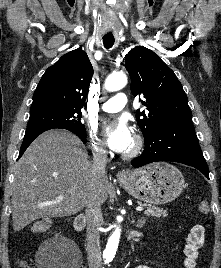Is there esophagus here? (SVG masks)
Returning a JSON list of instances; mask_svg holds the SVG:
<instances>
[{
  "label": "esophagus",
  "instance_id": "34e87169",
  "mask_svg": "<svg viewBox=\"0 0 221 268\" xmlns=\"http://www.w3.org/2000/svg\"><path fill=\"white\" fill-rule=\"evenodd\" d=\"M116 176L118 179H123L127 176V173L124 170H120L117 172Z\"/></svg>",
  "mask_w": 221,
  "mask_h": 268
}]
</instances>
